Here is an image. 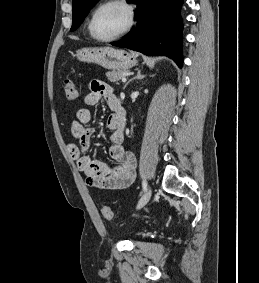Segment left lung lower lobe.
Segmentation results:
<instances>
[{
	"label": "left lung lower lobe",
	"mask_w": 259,
	"mask_h": 283,
	"mask_svg": "<svg viewBox=\"0 0 259 283\" xmlns=\"http://www.w3.org/2000/svg\"><path fill=\"white\" fill-rule=\"evenodd\" d=\"M138 5L137 26L112 43L146 55H167L182 67V0H133Z\"/></svg>",
	"instance_id": "left-lung-lower-lobe-1"
}]
</instances>
